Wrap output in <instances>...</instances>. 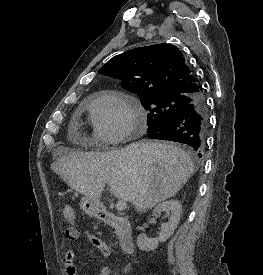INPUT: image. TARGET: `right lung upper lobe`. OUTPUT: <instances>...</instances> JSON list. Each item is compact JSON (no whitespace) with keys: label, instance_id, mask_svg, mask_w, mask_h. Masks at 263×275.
Returning <instances> with one entry per match:
<instances>
[{"label":"right lung upper lobe","instance_id":"obj_1","mask_svg":"<svg viewBox=\"0 0 263 275\" xmlns=\"http://www.w3.org/2000/svg\"><path fill=\"white\" fill-rule=\"evenodd\" d=\"M100 73L121 80L139 96H187L202 92L182 52L171 44L135 48L109 60Z\"/></svg>","mask_w":263,"mask_h":275}]
</instances>
